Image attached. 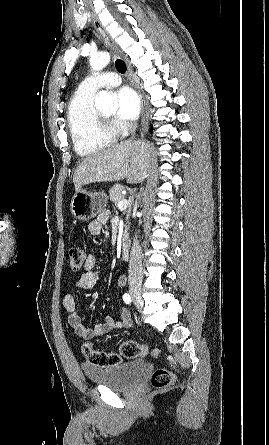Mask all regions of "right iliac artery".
Listing matches in <instances>:
<instances>
[{
    "label": "right iliac artery",
    "instance_id": "82829eb1",
    "mask_svg": "<svg viewBox=\"0 0 269 445\" xmlns=\"http://www.w3.org/2000/svg\"><path fill=\"white\" fill-rule=\"evenodd\" d=\"M123 300L126 304H130L131 303V296L128 293H125L123 295Z\"/></svg>",
    "mask_w": 269,
    "mask_h": 445
}]
</instances>
